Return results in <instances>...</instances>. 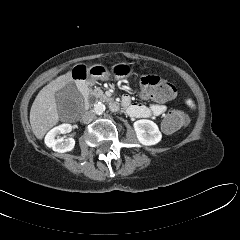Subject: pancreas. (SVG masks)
<instances>
[{"mask_svg":"<svg viewBox=\"0 0 240 240\" xmlns=\"http://www.w3.org/2000/svg\"><path fill=\"white\" fill-rule=\"evenodd\" d=\"M91 96H94L96 98H99L101 100H108L107 96L104 94V92L99 88H95L90 93Z\"/></svg>","mask_w":240,"mask_h":240,"instance_id":"cf45deb5","label":"pancreas"}]
</instances>
